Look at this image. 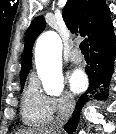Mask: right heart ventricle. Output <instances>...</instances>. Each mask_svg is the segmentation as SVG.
I'll list each match as a JSON object with an SVG mask.
<instances>
[{
  "label": "right heart ventricle",
  "instance_id": "obj_1",
  "mask_svg": "<svg viewBox=\"0 0 116 134\" xmlns=\"http://www.w3.org/2000/svg\"><path fill=\"white\" fill-rule=\"evenodd\" d=\"M21 115L23 122L30 126L45 125L52 118L49 97L39 90L35 77L30 78L23 93Z\"/></svg>",
  "mask_w": 116,
  "mask_h": 134
}]
</instances>
